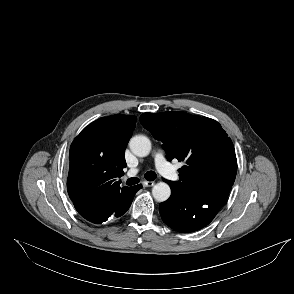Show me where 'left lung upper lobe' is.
Segmentation results:
<instances>
[{"label":"left lung upper lobe","instance_id":"obj_1","mask_svg":"<svg viewBox=\"0 0 294 294\" xmlns=\"http://www.w3.org/2000/svg\"><path fill=\"white\" fill-rule=\"evenodd\" d=\"M140 121L163 142L168 160L186 163L172 184L184 191H230L237 172L235 149L217 121L185 112L144 113Z\"/></svg>","mask_w":294,"mask_h":294}]
</instances>
